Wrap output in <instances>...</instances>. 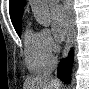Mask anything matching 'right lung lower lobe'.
<instances>
[{
  "mask_svg": "<svg viewBox=\"0 0 89 89\" xmlns=\"http://www.w3.org/2000/svg\"><path fill=\"white\" fill-rule=\"evenodd\" d=\"M73 62V52L71 51L67 59H62L58 65V77L65 83L70 82V72Z\"/></svg>",
  "mask_w": 89,
  "mask_h": 89,
  "instance_id": "1",
  "label": "right lung lower lobe"
}]
</instances>
